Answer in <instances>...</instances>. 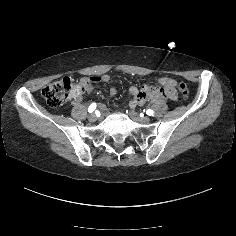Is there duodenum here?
<instances>
[{
    "mask_svg": "<svg viewBox=\"0 0 236 236\" xmlns=\"http://www.w3.org/2000/svg\"><path fill=\"white\" fill-rule=\"evenodd\" d=\"M146 93H150V91L146 90V92L144 93L137 92L135 94V99H139L140 97L144 98L147 95ZM173 97H174V93L169 83H163L161 88L151 93V99L153 100H157L160 98L172 99Z\"/></svg>",
    "mask_w": 236,
    "mask_h": 236,
    "instance_id": "410a0bca",
    "label": "duodenum"
}]
</instances>
